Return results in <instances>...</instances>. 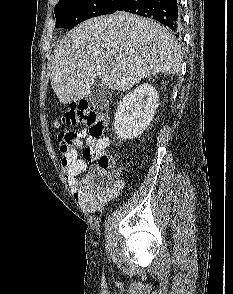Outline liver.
Segmentation results:
<instances>
[{"label": "liver", "instance_id": "6515ba94", "mask_svg": "<svg viewBox=\"0 0 233 294\" xmlns=\"http://www.w3.org/2000/svg\"><path fill=\"white\" fill-rule=\"evenodd\" d=\"M181 62L167 28L117 12L86 20L64 37L54 51L50 81L59 101L68 104L86 98L98 78L111 90L126 91L151 74H177Z\"/></svg>", "mask_w": 233, "mask_h": 294}]
</instances>
